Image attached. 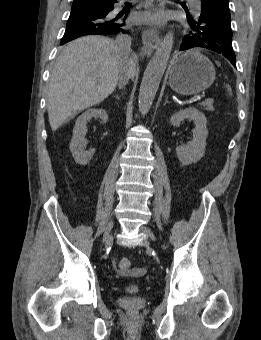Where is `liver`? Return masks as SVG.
I'll use <instances>...</instances> for the list:
<instances>
[{
	"label": "liver",
	"instance_id": "1",
	"mask_svg": "<svg viewBox=\"0 0 261 340\" xmlns=\"http://www.w3.org/2000/svg\"><path fill=\"white\" fill-rule=\"evenodd\" d=\"M126 69L134 76V60L121 55L109 38L86 36L69 43L50 77L47 110L52 131L72 115L106 99Z\"/></svg>",
	"mask_w": 261,
	"mask_h": 340
}]
</instances>
